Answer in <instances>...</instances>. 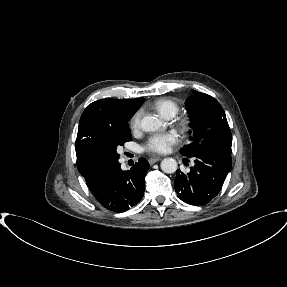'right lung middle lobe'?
Here are the masks:
<instances>
[{
    "mask_svg": "<svg viewBox=\"0 0 287 287\" xmlns=\"http://www.w3.org/2000/svg\"><path fill=\"white\" fill-rule=\"evenodd\" d=\"M131 140V132L128 124L112 129L103 134L98 141V157L102 164L117 161L119 154L118 146L124 145Z\"/></svg>",
    "mask_w": 287,
    "mask_h": 287,
    "instance_id": "1",
    "label": "right lung middle lobe"
}]
</instances>
